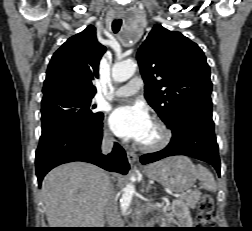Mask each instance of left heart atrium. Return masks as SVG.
Masks as SVG:
<instances>
[{
    "label": "left heart atrium",
    "mask_w": 252,
    "mask_h": 231,
    "mask_svg": "<svg viewBox=\"0 0 252 231\" xmlns=\"http://www.w3.org/2000/svg\"><path fill=\"white\" fill-rule=\"evenodd\" d=\"M152 124L147 109L140 103L118 106L109 116L110 128L117 136L137 142H142Z\"/></svg>",
    "instance_id": "1"
}]
</instances>
